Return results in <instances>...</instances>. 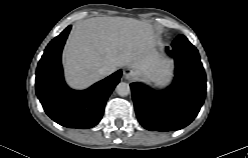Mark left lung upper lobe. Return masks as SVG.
<instances>
[{"instance_id": "obj_1", "label": "left lung upper lobe", "mask_w": 248, "mask_h": 158, "mask_svg": "<svg viewBox=\"0 0 248 158\" xmlns=\"http://www.w3.org/2000/svg\"><path fill=\"white\" fill-rule=\"evenodd\" d=\"M175 41H177V42H186V41H188V39H187L184 35H179V36L175 39Z\"/></svg>"}]
</instances>
